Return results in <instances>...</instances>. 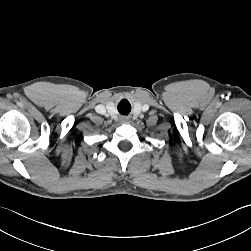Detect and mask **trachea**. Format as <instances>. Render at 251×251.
I'll return each mask as SVG.
<instances>
[{
  "instance_id": "obj_1",
  "label": "trachea",
  "mask_w": 251,
  "mask_h": 251,
  "mask_svg": "<svg viewBox=\"0 0 251 251\" xmlns=\"http://www.w3.org/2000/svg\"><path fill=\"white\" fill-rule=\"evenodd\" d=\"M131 110V106L129 104L128 101L126 100H122L119 104H118V111L123 114V115H127Z\"/></svg>"
}]
</instances>
